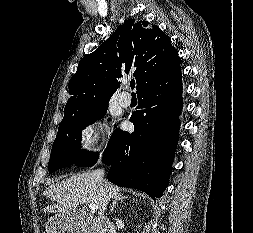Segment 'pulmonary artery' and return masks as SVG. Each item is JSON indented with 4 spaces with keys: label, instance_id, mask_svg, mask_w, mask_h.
I'll return each mask as SVG.
<instances>
[{
    "label": "pulmonary artery",
    "instance_id": "pulmonary-artery-1",
    "mask_svg": "<svg viewBox=\"0 0 253 233\" xmlns=\"http://www.w3.org/2000/svg\"><path fill=\"white\" fill-rule=\"evenodd\" d=\"M118 101L122 107H128L131 103V98L127 93H122L119 96Z\"/></svg>",
    "mask_w": 253,
    "mask_h": 233
}]
</instances>
